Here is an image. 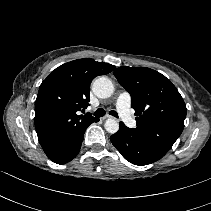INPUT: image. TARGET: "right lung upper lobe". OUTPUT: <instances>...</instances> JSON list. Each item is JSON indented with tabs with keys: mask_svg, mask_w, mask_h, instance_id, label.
<instances>
[{
	"mask_svg": "<svg viewBox=\"0 0 211 211\" xmlns=\"http://www.w3.org/2000/svg\"><path fill=\"white\" fill-rule=\"evenodd\" d=\"M115 66L83 58L65 63L42 82L35 102V127L45 153L59 148L76 130L97 120L79 115L89 105L91 81Z\"/></svg>",
	"mask_w": 211,
	"mask_h": 211,
	"instance_id": "cb5924a9",
	"label": "right lung upper lobe"
}]
</instances>
